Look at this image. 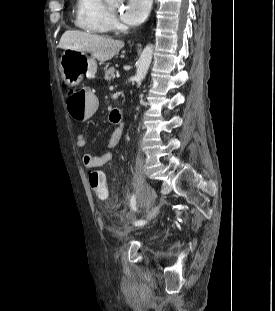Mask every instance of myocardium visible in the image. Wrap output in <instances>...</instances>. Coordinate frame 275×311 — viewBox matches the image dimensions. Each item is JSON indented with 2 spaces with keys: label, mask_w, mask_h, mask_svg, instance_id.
I'll list each match as a JSON object with an SVG mask.
<instances>
[{
  "label": "myocardium",
  "mask_w": 275,
  "mask_h": 311,
  "mask_svg": "<svg viewBox=\"0 0 275 311\" xmlns=\"http://www.w3.org/2000/svg\"><path fill=\"white\" fill-rule=\"evenodd\" d=\"M108 12H109V14H110V15H112V14H113V12H112L110 9H108Z\"/></svg>",
  "instance_id": "obj_1"
}]
</instances>
